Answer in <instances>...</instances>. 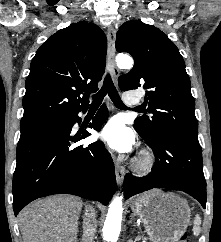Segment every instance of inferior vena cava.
Returning a JSON list of instances; mask_svg holds the SVG:
<instances>
[{
  "instance_id": "obj_1",
  "label": "inferior vena cava",
  "mask_w": 221,
  "mask_h": 242,
  "mask_svg": "<svg viewBox=\"0 0 221 242\" xmlns=\"http://www.w3.org/2000/svg\"><path fill=\"white\" fill-rule=\"evenodd\" d=\"M96 226L95 209L92 206L87 205L85 206V214L83 217V242H93Z\"/></svg>"
}]
</instances>
